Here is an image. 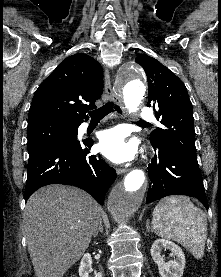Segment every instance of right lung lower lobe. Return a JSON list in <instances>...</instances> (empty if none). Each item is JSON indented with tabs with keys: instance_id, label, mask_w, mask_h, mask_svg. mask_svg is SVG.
<instances>
[{
	"instance_id": "98d812e1",
	"label": "right lung lower lobe",
	"mask_w": 221,
	"mask_h": 277,
	"mask_svg": "<svg viewBox=\"0 0 221 277\" xmlns=\"http://www.w3.org/2000/svg\"><path fill=\"white\" fill-rule=\"evenodd\" d=\"M92 145V139L80 142L73 138L29 155L25 201L42 186L65 184L85 190L102 205L116 172L104 160L89 154Z\"/></svg>"
}]
</instances>
